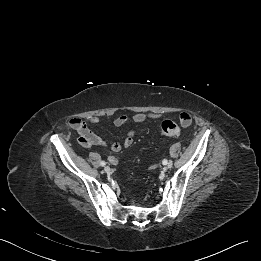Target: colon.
Segmentation results:
<instances>
[{
	"label": "colon",
	"mask_w": 261,
	"mask_h": 261,
	"mask_svg": "<svg viewBox=\"0 0 261 261\" xmlns=\"http://www.w3.org/2000/svg\"><path fill=\"white\" fill-rule=\"evenodd\" d=\"M183 122L187 123L189 120L186 118L182 119ZM180 125L181 121L179 120ZM180 125L172 120H165L161 124L160 133L163 136L178 137L181 134Z\"/></svg>",
	"instance_id": "obj_1"
}]
</instances>
